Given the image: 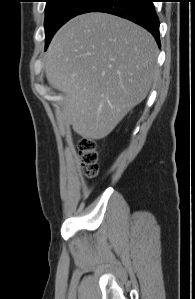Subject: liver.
Masks as SVG:
<instances>
[{
    "instance_id": "1",
    "label": "liver",
    "mask_w": 195,
    "mask_h": 299,
    "mask_svg": "<svg viewBox=\"0 0 195 299\" xmlns=\"http://www.w3.org/2000/svg\"><path fill=\"white\" fill-rule=\"evenodd\" d=\"M157 55L153 36L128 20L96 12L68 21L44 63L48 82L65 95L63 119L83 138H105L147 96Z\"/></svg>"
}]
</instances>
